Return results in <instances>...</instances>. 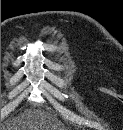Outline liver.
<instances>
[{"instance_id":"6515ba94","label":"liver","mask_w":123,"mask_h":130,"mask_svg":"<svg viewBox=\"0 0 123 130\" xmlns=\"http://www.w3.org/2000/svg\"><path fill=\"white\" fill-rule=\"evenodd\" d=\"M5 130H56L53 117L42 110H26L5 122Z\"/></svg>"}]
</instances>
